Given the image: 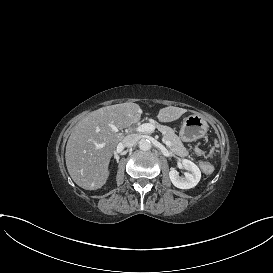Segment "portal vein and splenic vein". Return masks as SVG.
Listing matches in <instances>:
<instances>
[{"instance_id": "obj_1", "label": "portal vein and splenic vein", "mask_w": 273, "mask_h": 273, "mask_svg": "<svg viewBox=\"0 0 273 273\" xmlns=\"http://www.w3.org/2000/svg\"><path fill=\"white\" fill-rule=\"evenodd\" d=\"M111 127V129L117 133V135H123V133L114 125V124H110L109 125ZM136 131L137 132H153L154 131V126L152 124H149V123H145V124H142L140 126H138L136 128ZM161 139H162V142L165 144V145H171L172 144V141L171 140H167L166 138H164V136H161ZM107 141H104L100 144H97L96 145V149H101L103 147H105L107 145Z\"/></svg>"}]
</instances>
